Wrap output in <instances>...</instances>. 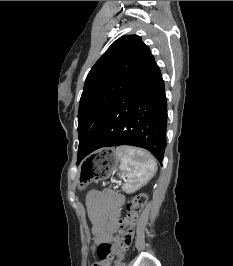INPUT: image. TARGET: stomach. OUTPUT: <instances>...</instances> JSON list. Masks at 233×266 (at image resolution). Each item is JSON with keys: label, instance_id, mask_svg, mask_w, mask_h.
<instances>
[{"label": "stomach", "instance_id": "obj_1", "mask_svg": "<svg viewBox=\"0 0 233 266\" xmlns=\"http://www.w3.org/2000/svg\"><path fill=\"white\" fill-rule=\"evenodd\" d=\"M115 152H118V147H97V152H89L88 161H83V166L108 167H78L80 185H99V180H109L112 169L120 163Z\"/></svg>", "mask_w": 233, "mask_h": 266}]
</instances>
